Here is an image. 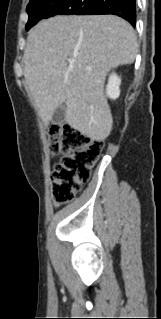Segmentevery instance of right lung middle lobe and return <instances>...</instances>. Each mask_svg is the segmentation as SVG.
<instances>
[{
  "label": "right lung middle lobe",
  "instance_id": "dd1d6c3e",
  "mask_svg": "<svg viewBox=\"0 0 161 319\" xmlns=\"http://www.w3.org/2000/svg\"><path fill=\"white\" fill-rule=\"evenodd\" d=\"M89 0H30L27 5L29 20L26 30L41 19L55 15H71L79 11Z\"/></svg>",
  "mask_w": 161,
  "mask_h": 319
}]
</instances>
